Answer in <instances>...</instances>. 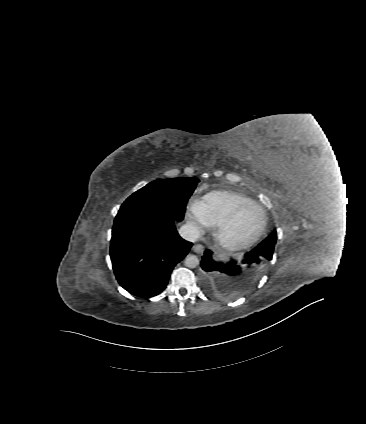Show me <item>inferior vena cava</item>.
<instances>
[{"mask_svg": "<svg viewBox=\"0 0 366 424\" xmlns=\"http://www.w3.org/2000/svg\"><path fill=\"white\" fill-rule=\"evenodd\" d=\"M178 233L183 239L190 242H196L200 238V232L198 228L191 223H186L181 226L178 230Z\"/></svg>", "mask_w": 366, "mask_h": 424, "instance_id": "inferior-vena-cava-1", "label": "inferior vena cava"}]
</instances>
